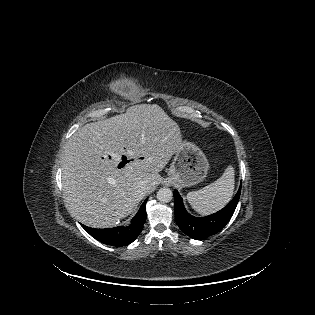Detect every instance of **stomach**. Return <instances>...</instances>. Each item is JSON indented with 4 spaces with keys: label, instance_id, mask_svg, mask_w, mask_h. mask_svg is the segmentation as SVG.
Segmentation results:
<instances>
[{
    "label": "stomach",
    "instance_id": "stomach-1",
    "mask_svg": "<svg viewBox=\"0 0 315 315\" xmlns=\"http://www.w3.org/2000/svg\"><path fill=\"white\" fill-rule=\"evenodd\" d=\"M209 163L201 151L192 142L182 140V146L173 158L168 171L169 180L189 187L201 182L207 175Z\"/></svg>",
    "mask_w": 315,
    "mask_h": 315
}]
</instances>
